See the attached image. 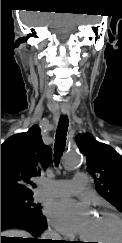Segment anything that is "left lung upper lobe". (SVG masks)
Listing matches in <instances>:
<instances>
[{
    "label": "left lung upper lobe",
    "mask_w": 122,
    "mask_h": 243,
    "mask_svg": "<svg viewBox=\"0 0 122 243\" xmlns=\"http://www.w3.org/2000/svg\"><path fill=\"white\" fill-rule=\"evenodd\" d=\"M76 143L86 156L87 171L93 175L99 194L122 212V157L91 134L78 135Z\"/></svg>",
    "instance_id": "left-lung-upper-lobe-1"
}]
</instances>
